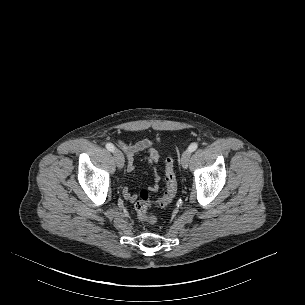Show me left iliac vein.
I'll return each instance as SVG.
<instances>
[{"instance_id": "4c4485c4", "label": "left iliac vein", "mask_w": 305, "mask_h": 305, "mask_svg": "<svg viewBox=\"0 0 305 305\" xmlns=\"http://www.w3.org/2000/svg\"><path fill=\"white\" fill-rule=\"evenodd\" d=\"M190 156H191V152L189 150L183 152L181 156V165L183 168L188 167Z\"/></svg>"}]
</instances>
